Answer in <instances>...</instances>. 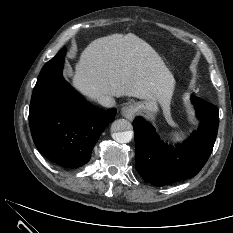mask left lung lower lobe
<instances>
[{
  "label": "left lung lower lobe",
  "instance_id": "left-lung-lower-lobe-1",
  "mask_svg": "<svg viewBox=\"0 0 233 233\" xmlns=\"http://www.w3.org/2000/svg\"><path fill=\"white\" fill-rule=\"evenodd\" d=\"M200 126L180 147L160 141L154 127L137 117L133 121L136 142V169L155 186L169 185L195 176L207 162L216 140L218 108L199 97H192Z\"/></svg>",
  "mask_w": 233,
  "mask_h": 233
}]
</instances>
